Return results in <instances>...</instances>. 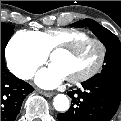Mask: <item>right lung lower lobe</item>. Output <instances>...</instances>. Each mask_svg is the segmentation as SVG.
Here are the masks:
<instances>
[{
  "label": "right lung lower lobe",
  "mask_w": 121,
  "mask_h": 121,
  "mask_svg": "<svg viewBox=\"0 0 121 121\" xmlns=\"http://www.w3.org/2000/svg\"><path fill=\"white\" fill-rule=\"evenodd\" d=\"M32 91V86L10 73L1 60V121H15L24 98Z\"/></svg>",
  "instance_id": "1"
}]
</instances>
